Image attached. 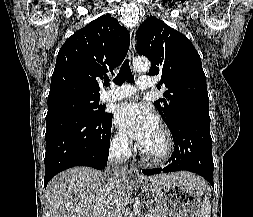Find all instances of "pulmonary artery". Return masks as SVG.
I'll use <instances>...</instances> for the list:
<instances>
[{
    "instance_id": "pulmonary-artery-1",
    "label": "pulmonary artery",
    "mask_w": 253,
    "mask_h": 217,
    "mask_svg": "<svg viewBox=\"0 0 253 217\" xmlns=\"http://www.w3.org/2000/svg\"><path fill=\"white\" fill-rule=\"evenodd\" d=\"M153 82L150 76H141L137 81V88L140 90L151 89ZM136 91V88L133 85L125 84L118 87H113L110 90H107L101 94L102 102H111L117 101L124 98H127L133 95Z\"/></svg>"
}]
</instances>
